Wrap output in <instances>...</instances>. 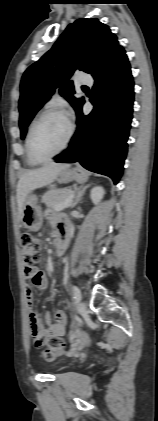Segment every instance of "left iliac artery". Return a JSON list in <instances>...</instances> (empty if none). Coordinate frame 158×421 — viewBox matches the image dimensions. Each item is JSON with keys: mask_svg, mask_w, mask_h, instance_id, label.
<instances>
[{"mask_svg": "<svg viewBox=\"0 0 158 421\" xmlns=\"http://www.w3.org/2000/svg\"><path fill=\"white\" fill-rule=\"evenodd\" d=\"M72 292H73V296L76 302H79L81 300V292L79 290V288L75 285L72 286Z\"/></svg>", "mask_w": 158, "mask_h": 421, "instance_id": "1", "label": "left iliac artery"}]
</instances>
